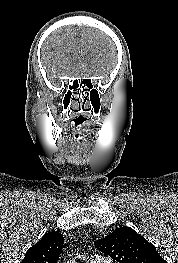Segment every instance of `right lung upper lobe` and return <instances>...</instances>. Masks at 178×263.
I'll return each instance as SVG.
<instances>
[{"label":"right lung upper lobe","mask_w":178,"mask_h":263,"mask_svg":"<svg viewBox=\"0 0 178 263\" xmlns=\"http://www.w3.org/2000/svg\"><path fill=\"white\" fill-rule=\"evenodd\" d=\"M64 238L59 232L46 233L30 247L21 263H57Z\"/></svg>","instance_id":"cb5924a9"}]
</instances>
